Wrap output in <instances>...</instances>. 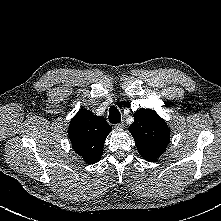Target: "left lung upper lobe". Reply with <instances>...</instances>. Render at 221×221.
Here are the masks:
<instances>
[{"mask_svg": "<svg viewBox=\"0 0 221 221\" xmlns=\"http://www.w3.org/2000/svg\"><path fill=\"white\" fill-rule=\"evenodd\" d=\"M129 131L140 155L148 161H156L170 141L167 124L150 109H139L134 113V123L130 125Z\"/></svg>", "mask_w": 221, "mask_h": 221, "instance_id": "1", "label": "left lung upper lobe"}]
</instances>
